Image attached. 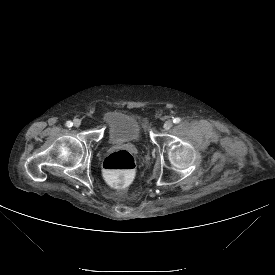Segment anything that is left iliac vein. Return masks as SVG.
<instances>
[{"label":"left iliac vein","mask_w":275,"mask_h":275,"mask_svg":"<svg viewBox=\"0 0 275 275\" xmlns=\"http://www.w3.org/2000/svg\"><path fill=\"white\" fill-rule=\"evenodd\" d=\"M173 125V122L171 120H167L165 123H164V129L165 130H169Z\"/></svg>","instance_id":"left-iliac-vein-1"}]
</instances>
